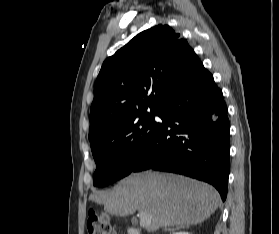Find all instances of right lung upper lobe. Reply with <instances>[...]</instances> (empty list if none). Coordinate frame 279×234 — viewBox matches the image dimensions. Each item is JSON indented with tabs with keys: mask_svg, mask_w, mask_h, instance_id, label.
Segmentation results:
<instances>
[{
	"mask_svg": "<svg viewBox=\"0 0 279 234\" xmlns=\"http://www.w3.org/2000/svg\"><path fill=\"white\" fill-rule=\"evenodd\" d=\"M200 64L188 42L168 25L136 35L102 65L90 110V144L136 112L159 108Z\"/></svg>",
	"mask_w": 279,
	"mask_h": 234,
	"instance_id": "cb5924a9",
	"label": "right lung upper lobe"
}]
</instances>
